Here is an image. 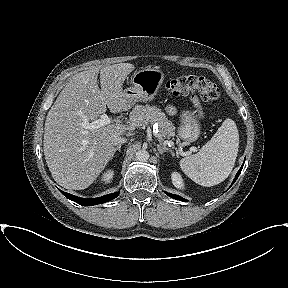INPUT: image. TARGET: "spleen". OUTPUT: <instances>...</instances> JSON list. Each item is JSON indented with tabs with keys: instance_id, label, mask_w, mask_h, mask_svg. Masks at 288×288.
<instances>
[{
	"instance_id": "1",
	"label": "spleen",
	"mask_w": 288,
	"mask_h": 288,
	"mask_svg": "<svg viewBox=\"0 0 288 288\" xmlns=\"http://www.w3.org/2000/svg\"><path fill=\"white\" fill-rule=\"evenodd\" d=\"M239 148V133L235 122L227 118L217 132L197 154L180 160L182 171L202 186H214L231 173Z\"/></svg>"
}]
</instances>
